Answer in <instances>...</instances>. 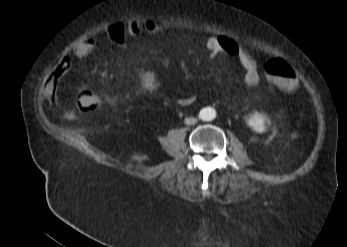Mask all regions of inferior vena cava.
<instances>
[{"label": "inferior vena cava", "mask_w": 347, "mask_h": 247, "mask_svg": "<svg viewBox=\"0 0 347 247\" xmlns=\"http://www.w3.org/2000/svg\"><path fill=\"white\" fill-rule=\"evenodd\" d=\"M196 122H197V119L194 118V117H190V118H186L185 119V123L188 124V125L195 124Z\"/></svg>", "instance_id": "602c4592"}]
</instances>
